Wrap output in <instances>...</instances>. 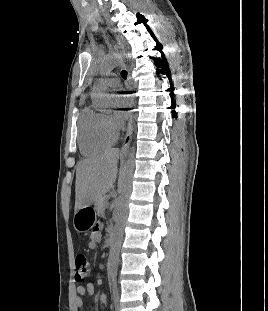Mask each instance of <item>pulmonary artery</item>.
<instances>
[{
    "label": "pulmonary artery",
    "mask_w": 268,
    "mask_h": 311,
    "mask_svg": "<svg viewBox=\"0 0 268 311\" xmlns=\"http://www.w3.org/2000/svg\"><path fill=\"white\" fill-rule=\"evenodd\" d=\"M119 79L116 77H108L103 80V83L108 87H117L119 85Z\"/></svg>",
    "instance_id": "e3ab8cb5"
}]
</instances>
